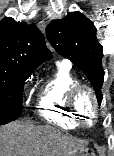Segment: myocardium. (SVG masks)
I'll list each match as a JSON object with an SVG mask.
<instances>
[{
    "mask_svg": "<svg viewBox=\"0 0 114 156\" xmlns=\"http://www.w3.org/2000/svg\"><path fill=\"white\" fill-rule=\"evenodd\" d=\"M82 92L88 93L93 101V113H92V118L90 122L85 121L82 112L79 110L77 106L78 96ZM67 104H68L69 109L71 110V112L73 113V115L75 116V118L80 124H82L83 126H87V127L94 125L99 114V101H98V97H97L95 90L91 86L84 84V83H79L75 85L68 94Z\"/></svg>",
    "mask_w": 114,
    "mask_h": 156,
    "instance_id": "obj_1",
    "label": "myocardium"
}]
</instances>
